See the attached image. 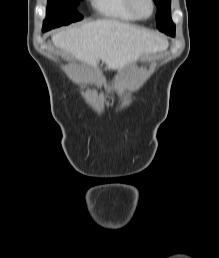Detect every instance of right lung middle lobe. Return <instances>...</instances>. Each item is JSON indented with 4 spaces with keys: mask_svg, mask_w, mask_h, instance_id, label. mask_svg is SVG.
Returning <instances> with one entry per match:
<instances>
[{
    "mask_svg": "<svg viewBox=\"0 0 219 258\" xmlns=\"http://www.w3.org/2000/svg\"><path fill=\"white\" fill-rule=\"evenodd\" d=\"M79 0H48L43 31L81 20L83 17L76 11Z\"/></svg>",
    "mask_w": 219,
    "mask_h": 258,
    "instance_id": "dd1d6c3e",
    "label": "right lung middle lobe"
}]
</instances>
